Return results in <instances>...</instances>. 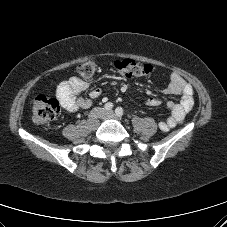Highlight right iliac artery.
<instances>
[{
  "mask_svg": "<svg viewBox=\"0 0 227 227\" xmlns=\"http://www.w3.org/2000/svg\"><path fill=\"white\" fill-rule=\"evenodd\" d=\"M104 108H105L106 110H111V109L113 108V103H111V102L106 103V104L104 105Z\"/></svg>",
  "mask_w": 227,
  "mask_h": 227,
  "instance_id": "right-iliac-artery-1",
  "label": "right iliac artery"
}]
</instances>
